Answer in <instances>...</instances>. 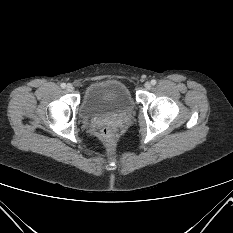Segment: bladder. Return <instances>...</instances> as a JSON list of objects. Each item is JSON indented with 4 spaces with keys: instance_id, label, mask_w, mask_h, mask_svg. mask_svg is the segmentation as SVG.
I'll return each mask as SVG.
<instances>
[{
    "instance_id": "bladder-1",
    "label": "bladder",
    "mask_w": 233,
    "mask_h": 233,
    "mask_svg": "<svg viewBox=\"0 0 233 233\" xmlns=\"http://www.w3.org/2000/svg\"><path fill=\"white\" fill-rule=\"evenodd\" d=\"M134 100L129 88L118 79L92 82L85 90L80 114L84 118H96L108 113H129Z\"/></svg>"
}]
</instances>
